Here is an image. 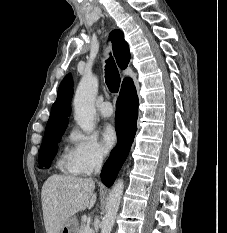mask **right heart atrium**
I'll return each mask as SVG.
<instances>
[{"label":"right heart atrium","instance_id":"right-heart-atrium-1","mask_svg":"<svg viewBox=\"0 0 227 233\" xmlns=\"http://www.w3.org/2000/svg\"><path fill=\"white\" fill-rule=\"evenodd\" d=\"M68 140L70 148L66 155V161L70 172L88 175L101 167L105 158V151L96 136L73 129L68 136Z\"/></svg>","mask_w":227,"mask_h":233}]
</instances>
